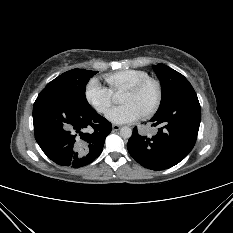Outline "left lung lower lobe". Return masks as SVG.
<instances>
[{"label": "left lung lower lobe", "instance_id": "left-lung-lower-lobe-1", "mask_svg": "<svg viewBox=\"0 0 233 233\" xmlns=\"http://www.w3.org/2000/svg\"><path fill=\"white\" fill-rule=\"evenodd\" d=\"M201 120L200 104L189 82L182 84L168 105L151 118L158 132L152 137L138 134L127 143L134 160L151 170L168 169L182 161L195 145Z\"/></svg>", "mask_w": 233, "mask_h": 233}]
</instances>
